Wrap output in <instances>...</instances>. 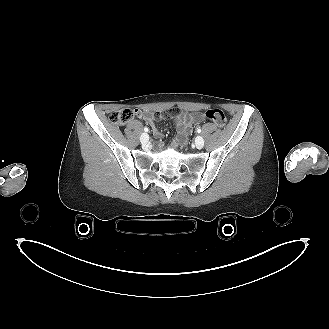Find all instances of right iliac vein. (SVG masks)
I'll use <instances>...</instances> for the list:
<instances>
[{"mask_svg": "<svg viewBox=\"0 0 329 329\" xmlns=\"http://www.w3.org/2000/svg\"><path fill=\"white\" fill-rule=\"evenodd\" d=\"M149 140V135L147 133H143L141 136H140V142L142 144H146Z\"/></svg>", "mask_w": 329, "mask_h": 329, "instance_id": "right-iliac-vein-1", "label": "right iliac vein"}]
</instances>
